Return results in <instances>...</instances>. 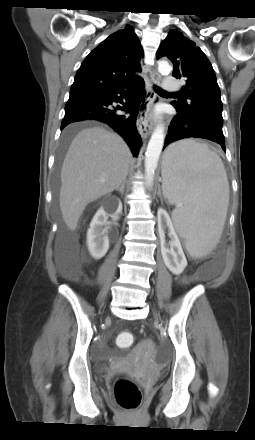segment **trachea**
Returning a JSON list of instances; mask_svg holds the SVG:
<instances>
[{"instance_id": "trachea-1", "label": "trachea", "mask_w": 255, "mask_h": 440, "mask_svg": "<svg viewBox=\"0 0 255 440\" xmlns=\"http://www.w3.org/2000/svg\"><path fill=\"white\" fill-rule=\"evenodd\" d=\"M154 89H155V91H156L158 94L179 95L178 92L169 93V92L163 90L162 88H160V87H158V86H154Z\"/></svg>"}]
</instances>
